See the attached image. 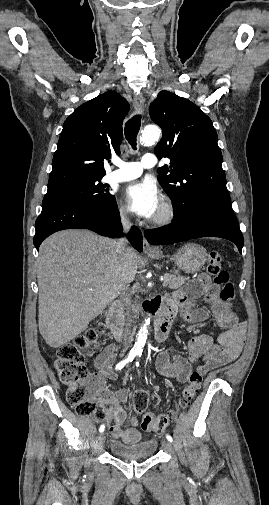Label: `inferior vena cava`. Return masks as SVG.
I'll return each instance as SVG.
<instances>
[{"label":"inferior vena cava","mask_w":269,"mask_h":505,"mask_svg":"<svg viewBox=\"0 0 269 505\" xmlns=\"http://www.w3.org/2000/svg\"><path fill=\"white\" fill-rule=\"evenodd\" d=\"M121 221H122L124 232L126 233L130 228V223H129L127 217H125L123 215L121 217ZM127 245H128L127 239L124 237L120 238L117 241L116 252L121 256L124 255L125 252L128 250ZM128 286H129L128 284H125L123 286V302H124L125 314L127 317V324L125 326L124 334H123L124 350H127L129 348L131 341H132V331H131V302H132V299H131V294L128 292Z\"/></svg>","instance_id":"obj_1"}]
</instances>
